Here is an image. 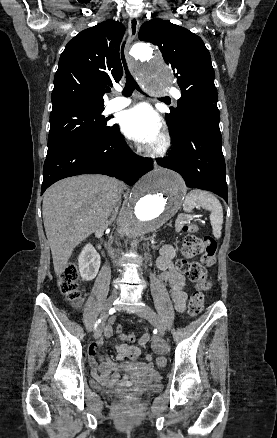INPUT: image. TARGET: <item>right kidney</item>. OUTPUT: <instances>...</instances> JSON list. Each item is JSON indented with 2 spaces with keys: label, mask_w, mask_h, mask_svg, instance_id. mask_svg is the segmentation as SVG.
Returning <instances> with one entry per match:
<instances>
[{
  "label": "right kidney",
  "mask_w": 277,
  "mask_h": 438,
  "mask_svg": "<svg viewBox=\"0 0 277 438\" xmlns=\"http://www.w3.org/2000/svg\"><path fill=\"white\" fill-rule=\"evenodd\" d=\"M100 256L91 244L84 246L78 260L79 272L82 280L91 282L96 278L100 268Z\"/></svg>",
  "instance_id": "obj_1"
}]
</instances>
